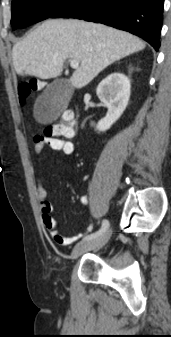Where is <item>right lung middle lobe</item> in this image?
<instances>
[{
  "instance_id": "1",
  "label": "right lung middle lobe",
  "mask_w": 171,
  "mask_h": 337,
  "mask_svg": "<svg viewBox=\"0 0 171 337\" xmlns=\"http://www.w3.org/2000/svg\"><path fill=\"white\" fill-rule=\"evenodd\" d=\"M73 0H12L13 30L49 18Z\"/></svg>"
}]
</instances>
